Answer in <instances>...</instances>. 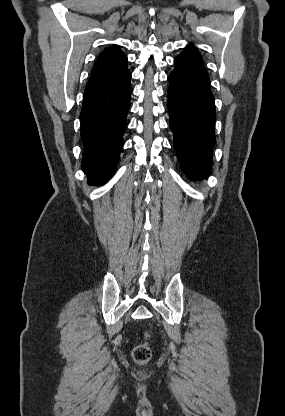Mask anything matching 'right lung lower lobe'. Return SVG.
<instances>
[{"label": "right lung lower lobe", "instance_id": "obj_1", "mask_svg": "<svg viewBox=\"0 0 285 416\" xmlns=\"http://www.w3.org/2000/svg\"><path fill=\"white\" fill-rule=\"evenodd\" d=\"M130 79L128 71L108 85L84 92L80 114L84 143L82 169L90 183H105L115 172L127 126Z\"/></svg>", "mask_w": 285, "mask_h": 416}]
</instances>
